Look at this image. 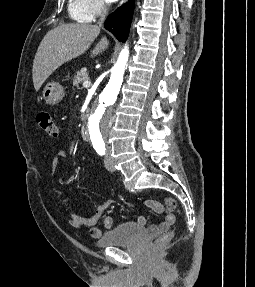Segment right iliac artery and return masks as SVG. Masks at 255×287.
Returning a JSON list of instances; mask_svg holds the SVG:
<instances>
[{"label": "right iliac artery", "mask_w": 255, "mask_h": 287, "mask_svg": "<svg viewBox=\"0 0 255 287\" xmlns=\"http://www.w3.org/2000/svg\"><path fill=\"white\" fill-rule=\"evenodd\" d=\"M96 151L99 155H104L105 154V147H99L96 149Z\"/></svg>", "instance_id": "obj_1"}]
</instances>
